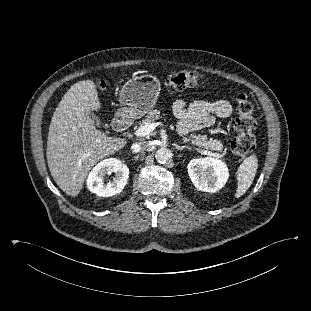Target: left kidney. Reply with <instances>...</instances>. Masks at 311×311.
<instances>
[{
    "label": "left kidney",
    "instance_id": "obj_1",
    "mask_svg": "<svg viewBox=\"0 0 311 311\" xmlns=\"http://www.w3.org/2000/svg\"><path fill=\"white\" fill-rule=\"evenodd\" d=\"M188 174L197 189L209 193L219 191L229 178L226 164L211 157L191 160L188 164Z\"/></svg>",
    "mask_w": 311,
    "mask_h": 311
}]
</instances>
